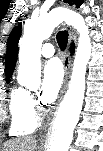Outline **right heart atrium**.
Listing matches in <instances>:
<instances>
[{
	"label": "right heart atrium",
	"mask_w": 103,
	"mask_h": 151,
	"mask_svg": "<svg viewBox=\"0 0 103 151\" xmlns=\"http://www.w3.org/2000/svg\"><path fill=\"white\" fill-rule=\"evenodd\" d=\"M29 101H30V104H31V106H32V108L34 109V111H35V108H36V100H35V98H34V96L33 95H30L29 96Z\"/></svg>",
	"instance_id": "1"
}]
</instances>
